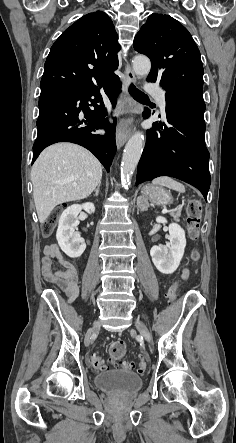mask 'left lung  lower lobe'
<instances>
[{
    "instance_id": "0a47b994",
    "label": "left lung lower lobe",
    "mask_w": 236,
    "mask_h": 443,
    "mask_svg": "<svg viewBox=\"0 0 236 443\" xmlns=\"http://www.w3.org/2000/svg\"><path fill=\"white\" fill-rule=\"evenodd\" d=\"M167 123H153L147 131L138 164L136 185L159 176H170L196 187L207 201L210 187L209 152L205 145L203 89L166 91ZM145 108L143 117H150Z\"/></svg>"
}]
</instances>
